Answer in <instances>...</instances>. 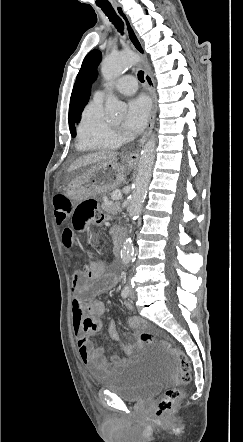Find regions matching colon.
Returning <instances> with one entry per match:
<instances>
[{"mask_svg": "<svg viewBox=\"0 0 243 442\" xmlns=\"http://www.w3.org/2000/svg\"><path fill=\"white\" fill-rule=\"evenodd\" d=\"M53 206L57 225H63L66 221L71 220V227L65 228L62 233V242L67 248L76 243L77 236L81 235L90 224L96 223L97 226L102 227L105 222H118L124 218L123 215L118 213H98L94 200H86L78 207L73 208L70 200L63 194L53 197ZM139 339L143 343H152L156 340L151 333H142ZM159 343L178 362L181 382L183 384L189 383L191 380V364L186 354L166 339H161ZM180 398V388L167 389L157 404L156 417L158 419L169 418Z\"/></svg>", "mask_w": 243, "mask_h": 442, "instance_id": "1", "label": "colon"}]
</instances>
